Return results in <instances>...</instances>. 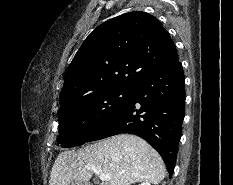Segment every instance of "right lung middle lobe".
<instances>
[{
    "label": "right lung middle lobe",
    "instance_id": "right-lung-middle-lobe-1",
    "mask_svg": "<svg viewBox=\"0 0 233 185\" xmlns=\"http://www.w3.org/2000/svg\"><path fill=\"white\" fill-rule=\"evenodd\" d=\"M128 89H108L77 99L59 110V137L62 147L84 144L124 103Z\"/></svg>",
    "mask_w": 233,
    "mask_h": 185
}]
</instances>
